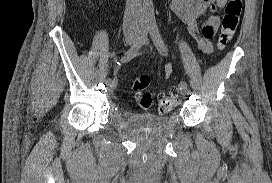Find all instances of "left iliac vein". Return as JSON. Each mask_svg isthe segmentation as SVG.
I'll return each mask as SVG.
<instances>
[{
    "label": "left iliac vein",
    "mask_w": 272,
    "mask_h": 183,
    "mask_svg": "<svg viewBox=\"0 0 272 183\" xmlns=\"http://www.w3.org/2000/svg\"><path fill=\"white\" fill-rule=\"evenodd\" d=\"M142 44H148V41L144 40ZM181 94L184 95V96H187V95L190 94V90L188 88L182 89Z\"/></svg>",
    "instance_id": "1"
}]
</instances>
